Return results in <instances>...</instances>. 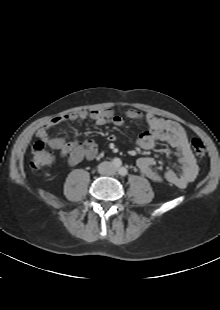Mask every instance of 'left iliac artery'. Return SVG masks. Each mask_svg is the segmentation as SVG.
<instances>
[{
  "mask_svg": "<svg viewBox=\"0 0 220 310\" xmlns=\"http://www.w3.org/2000/svg\"><path fill=\"white\" fill-rule=\"evenodd\" d=\"M118 173H119L121 176H126V175L128 174V171H127L126 168L121 167V168H119Z\"/></svg>",
  "mask_w": 220,
  "mask_h": 310,
  "instance_id": "obj_1",
  "label": "left iliac artery"
}]
</instances>
